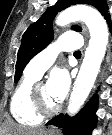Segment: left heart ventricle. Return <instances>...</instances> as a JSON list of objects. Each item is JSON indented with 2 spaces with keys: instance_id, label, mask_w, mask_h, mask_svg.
<instances>
[{
  "instance_id": "obj_1",
  "label": "left heart ventricle",
  "mask_w": 112,
  "mask_h": 135,
  "mask_svg": "<svg viewBox=\"0 0 112 135\" xmlns=\"http://www.w3.org/2000/svg\"><path fill=\"white\" fill-rule=\"evenodd\" d=\"M40 97L44 103V105L48 108H52L58 104L57 101H55L48 90L47 84L43 83L39 88Z\"/></svg>"
}]
</instances>
